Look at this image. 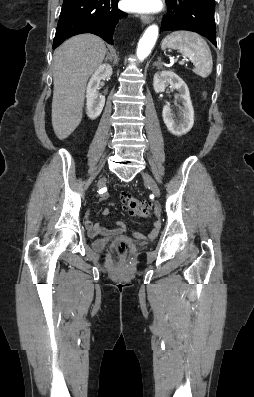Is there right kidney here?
I'll return each instance as SVG.
<instances>
[{
	"label": "right kidney",
	"mask_w": 254,
	"mask_h": 397,
	"mask_svg": "<svg viewBox=\"0 0 254 397\" xmlns=\"http://www.w3.org/2000/svg\"><path fill=\"white\" fill-rule=\"evenodd\" d=\"M112 67L109 64L100 65L92 75L86 90V108L90 119H96L102 112L105 104V96L99 95L97 89L100 81L110 78Z\"/></svg>",
	"instance_id": "right-kidney-1"
}]
</instances>
